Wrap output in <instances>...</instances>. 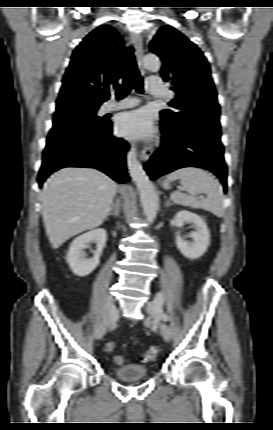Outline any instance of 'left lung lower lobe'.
I'll return each instance as SVG.
<instances>
[{"instance_id":"1","label":"left lung lower lobe","mask_w":273,"mask_h":430,"mask_svg":"<svg viewBox=\"0 0 273 430\" xmlns=\"http://www.w3.org/2000/svg\"><path fill=\"white\" fill-rule=\"evenodd\" d=\"M162 147L145 169L156 179L183 167H200L217 175L227 190V167L221 143V128L215 115L201 114L186 125H177L161 115Z\"/></svg>"}]
</instances>
